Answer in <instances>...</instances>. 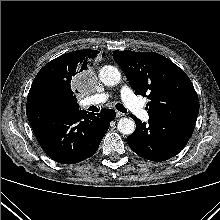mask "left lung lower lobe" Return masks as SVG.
<instances>
[{"label": "left lung lower lobe", "mask_w": 220, "mask_h": 220, "mask_svg": "<svg viewBox=\"0 0 220 220\" xmlns=\"http://www.w3.org/2000/svg\"><path fill=\"white\" fill-rule=\"evenodd\" d=\"M136 129L127 138L129 147L140 157L161 162L177 155L189 141L197 116L176 114L150 118L148 124L132 116Z\"/></svg>", "instance_id": "1"}]
</instances>
